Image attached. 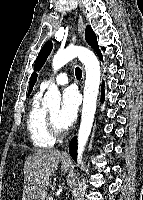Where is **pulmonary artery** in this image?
Instances as JSON below:
<instances>
[{
    "label": "pulmonary artery",
    "instance_id": "e3ab8cb5",
    "mask_svg": "<svg viewBox=\"0 0 143 200\" xmlns=\"http://www.w3.org/2000/svg\"><path fill=\"white\" fill-rule=\"evenodd\" d=\"M69 81L68 73L62 72L58 74L54 79L46 80L41 84V89L45 90L47 89L51 84H57V85H65Z\"/></svg>",
    "mask_w": 143,
    "mask_h": 200
}]
</instances>
